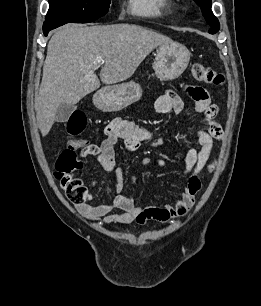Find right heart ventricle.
Masks as SVG:
<instances>
[{
	"label": "right heart ventricle",
	"mask_w": 261,
	"mask_h": 306,
	"mask_svg": "<svg viewBox=\"0 0 261 306\" xmlns=\"http://www.w3.org/2000/svg\"><path fill=\"white\" fill-rule=\"evenodd\" d=\"M169 7V0H128L132 14L141 17H161Z\"/></svg>",
	"instance_id": "obj_1"
}]
</instances>
